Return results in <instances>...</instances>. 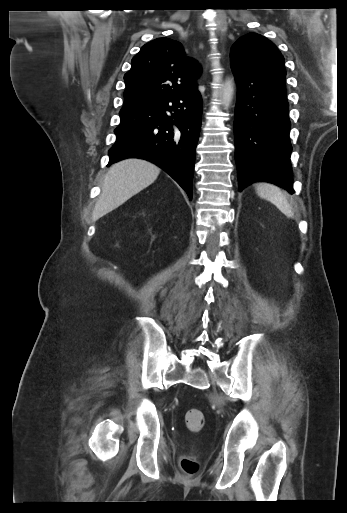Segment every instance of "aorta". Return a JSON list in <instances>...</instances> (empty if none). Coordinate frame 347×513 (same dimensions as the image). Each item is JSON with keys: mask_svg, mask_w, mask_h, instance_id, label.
<instances>
[{"mask_svg": "<svg viewBox=\"0 0 347 513\" xmlns=\"http://www.w3.org/2000/svg\"><path fill=\"white\" fill-rule=\"evenodd\" d=\"M233 93V81L232 79H226L221 90V101L225 109H227L230 106L233 98Z\"/></svg>", "mask_w": 347, "mask_h": 513, "instance_id": "obj_1", "label": "aorta"}]
</instances>
